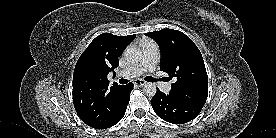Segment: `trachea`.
I'll return each instance as SVG.
<instances>
[{
	"mask_svg": "<svg viewBox=\"0 0 276 138\" xmlns=\"http://www.w3.org/2000/svg\"><path fill=\"white\" fill-rule=\"evenodd\" d=\"M145 80H146L147 82H156V81H157V79H155V78H153V77H145ZM127 82H128L127 79H120V80H119V83H120V84H126Z\"/></svg>",
	"mask_w": 276,
	"mask_h": 138,
	"instance_id": "trachea-1",
	"label": "trachea"
}]
</instances>
